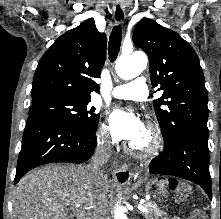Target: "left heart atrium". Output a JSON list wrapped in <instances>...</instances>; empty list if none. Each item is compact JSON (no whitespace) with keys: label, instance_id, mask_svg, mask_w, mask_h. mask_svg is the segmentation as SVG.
<instances>
[{"label":"left heart atrium","instance_id":"1","mask_svg":"<svg viewBox=\"0 0 221 219\" xmlns=\"http://www.w3.org/2000/svg\"><path fill=\"white\" fill-rule=\"evenodd\" d=\"M109 131L116 141H132L143 130V124L134 111L115 109L109 115Z\"/></svg>","mask_w":221,"mask_h":219}]
</instances>
